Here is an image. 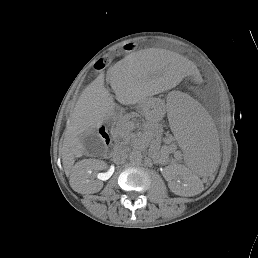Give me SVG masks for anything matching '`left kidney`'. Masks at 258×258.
Segmentation results:
<instances>
[{
    "label": "left kidney",
    "instance_id": "left-kidney-1",
    "mask_svg": "<svg viewBox=\"0 0 258 258\" xmlns=\"http://www.w3.org/2000/svg\"><path fill=\"white\" fill-rule=\"evenodd\" d=\"M188 177H189V175H187V177H185V180H187L189 182L190 178H188ZM174 193L177 194V195H180V196H191V195H194V193L190 189V185H188V184H186V186L185 185L176 184L174 186Z\"/></svg>",
    "mask_w": 258,
    "mask_h": 258
}]
</instances>
